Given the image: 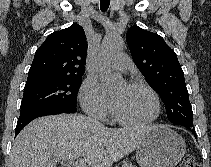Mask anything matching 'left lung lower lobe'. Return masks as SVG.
I'll use <instances>...</instances> for the list:
<instances>
[{"instance_id":"obj_1","label":"left lung lower lobe","mask_w":211,"mask_h":167,"mask_svg":"<svg viewBox=\"0 0 211 167\" xmlns=\"http://www.w3.org/2000/svg\"><path fill=\"white\" fill-rule=\"evenodd\" d=\"M181 126H184L187 129H189L194 134V136L196 138V133H195V130H194L193 126H191V125H181Z\"/></svg>"}]
</instances>
